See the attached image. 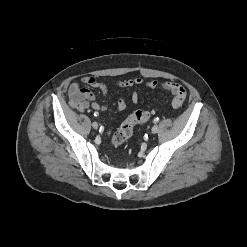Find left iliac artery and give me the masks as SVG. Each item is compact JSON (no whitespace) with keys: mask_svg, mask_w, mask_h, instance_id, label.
<instances>
[{"mask_svg":"<svg viewBox=\"0 0 247 247\" xmlns=\"http://www.w3.org/2000/svg\"><path fill=\"white\" fill-rule=\"evenodd\" d=\"M158 121H159V118L157 117V118L154 119L153 122H154V123H157Z\"/></svg>","mask_w":247,"mask_h":247,"instance_id":"left-iliac-artery-1","label":"left iliac artery"}]
</instances>
